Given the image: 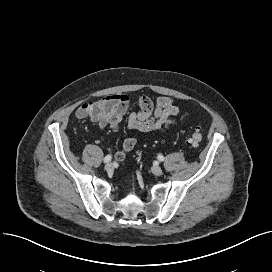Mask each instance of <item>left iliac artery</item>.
Wrapping results in <instances>:
<instances>
[{"mask_svg": "<svg viewBox=\"0 0 272 272\" xmlns=\"http://www.w3.org/2000/svg\"><path fill=\"white\" fill-rule=\"evenodd\" d=\"M158 160L159 161H164V157L162 155H158Z\"/></svg>", "mask_w": 272, "mask_h": 272, "instance_id": "1", "label": "left iliac artery"}]
</instances>
